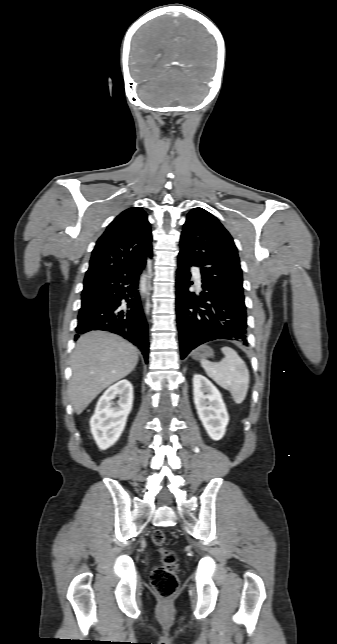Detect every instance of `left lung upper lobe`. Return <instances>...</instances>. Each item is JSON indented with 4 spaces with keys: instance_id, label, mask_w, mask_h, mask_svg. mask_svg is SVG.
<instances>
[{
    "instance_id": "1",
    "label": "left lung upper lobe",
    "mask_w": 337,
    "mask_h": 644,
    "mask_svg": "<svg viewBox=\"0 0 337 644\" xmlns=\"http://www.w3.org/2000/svg\"><path fill=\"white\" fill-rule=\"evenodd\" d=\"M178 259L200 267L202 278L245 307L237 248L228 231L208 211L194 208L188 213Z\"/></svg>"
}]
</instances>
